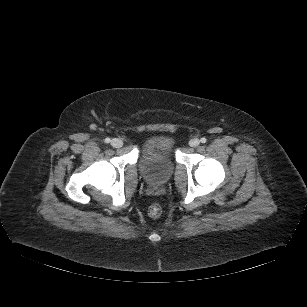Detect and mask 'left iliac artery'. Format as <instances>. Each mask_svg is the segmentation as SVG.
Returning <instances> with one entry per match:
<instances>
[{"label":"left iliac artery","instance_id":"obj_1","mask_svg":"<svg viewBox=\"0 0 307 307\" xmlns=\"http://www.w3.org/2000/svg\"><path fill=\"white\" fill-rule=\"evenodd\" d=\"M200 141H201L202 143H206L207 139H206L205 137H202V138L200 139Z\"/></svg>","mask_w":307,"mask_h":307}]
</instances>
